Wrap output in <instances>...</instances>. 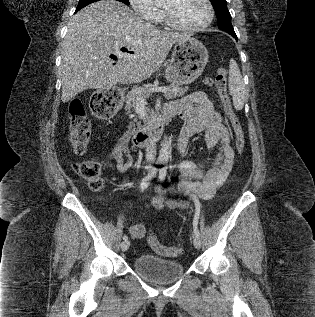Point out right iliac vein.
Here are the masks:
<instances>
[{"label": "right iliac vein", "mask_w": 315, "mask_h": 317, "mask_svg": "<svg viewBox=\"0 0 315 317\" xmlns=\"http://www.w3.org/2000/svg\"><path fill=\"white\" fill-rule=\"evenodd\" d=\"M130 246V242L128 240H124L122 243H121V249L122 251H126Z\"/></svg>", "instance_id": "63e3f726"}]
</instances>
